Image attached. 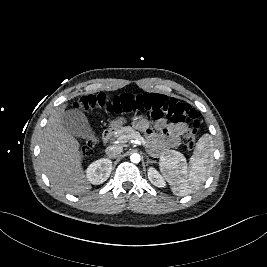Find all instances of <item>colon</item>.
<instances>
[{"instance_id": "colon-1", "label": "colon", "mask_w": 267, "mask_h": 267, "mask_svg": "<svg viewBox=\"0 0 267 267\" xmlns=\"http://www.w3.org/2000/svg\"><path fill=\"white\" fill-rule=\"evenodd\" d=\"M77 105L82 109L102 108L109 113L137 114L148 118H166L174 123L189 121L188 130L184 137V143L188 149H193L199 120L196 110L187 103L159 93L122 94L111 100L104 95H88L82 97ZM93 146V142L87 139L81 143L80 150L87 154Z\"/></svg>"}]
</instances>
